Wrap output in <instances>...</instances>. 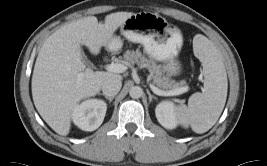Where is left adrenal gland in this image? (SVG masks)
Wrapping results in <instances>:
<instances>
[{
  "instance_id": "a2214340",
  "label": "left adrenal gland",
  "mask_w": 267,
  "mask_h": 166,
  "mask_svg": "<svg viewBox=\"0 0 267 166\" xmlns=\"http://www.w3.org/2000/svg\"><path fill=\"white\" fill-rule=\"evenodd\" d=\"M147 94H148V96H149V103L152 101V99H157L154 95H152L151 93H150V91L149 90H147Z\"/></svg>"
}]
</instances>
